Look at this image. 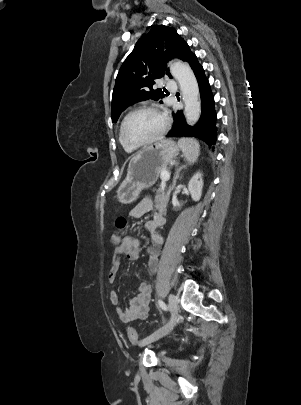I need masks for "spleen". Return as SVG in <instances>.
I'll use <instances>...</instances> for the list:
<instances>
[{"label": "spleen", "instance_id": "obj_1", "mask_svg": "<svg viewBox=\"0 0 301 405\" xmlns=\"http://www.w3.org/2000/svg\"><path fill=\"white\" fill-rule=\"evenodd\" d=\"M178 146L190 163H194L200 153L199 143L192 138H182L178 140Z\"/></svg>", "mask_w": 301, "mask_h": 405}]
</instances>
